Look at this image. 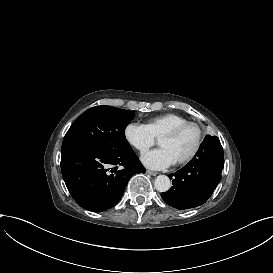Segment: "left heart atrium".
Segmentation results:
<instances>
[{"label":"left heart atrium","mask_w":273,"mask_h":273,"mask_svg":"<svg viewBox=\"0 0 273 273\" xmlns=\"http://www.w3.org/2000/svg\"><path fill=\"white\" fill-rule=\"evenodd\" d=\"M141 160L146 167L151 169H161L176 163L170 152L163 147L145 152Z\"/></svg>","instance_id":"39dd6f15"}]
</instances>
